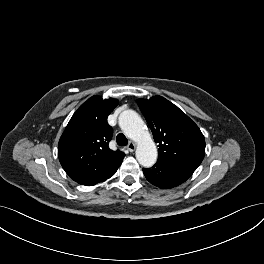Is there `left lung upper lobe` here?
<instances>
[{
  "instance_id": "obj_1",
  "label": "left lung upper lobe",
  "mask_w": 264,
  "mask_h": 264,
  "mask_svg": "<svg viewBox=\"0 0 264 264\" xmlns=\"http://www.w3.org/2000/svg\"><path fill=\"white\" fill-rule=\"evenodd\" d=\"M137 102L158 143V160L196 170L205 155V139L198 126L164 97Z\"/></svg>"
}]
</instances>
